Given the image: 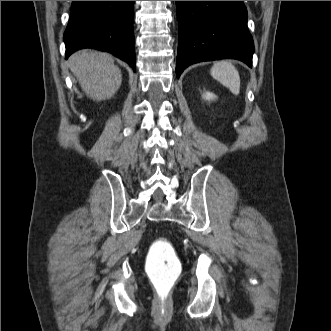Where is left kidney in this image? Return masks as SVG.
Here are the masks:
<instances>
[{"label":"left kidney","mask_w":331,"mask_h":331,"mask_svg":"<svg viewBox=\"0 0 331 331\" xmlns=\"http://www.w3.org/2000/svg\"><path fill=\"white\" fill-rule=\"evenodd\" d=\"M203 98H205L206 100H214L216 98V96L211 92H206L203 95Z\"/></svg>","instance_id":"left-kidney-1"}]
</instances>
